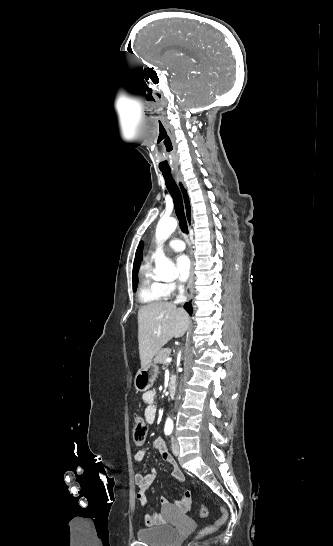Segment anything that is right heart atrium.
I'll use <instances>...</instances> for the list:
<instances>
[{
    "instance_id": "d8ad5b80",
    "label": "right heart atrium",
    "mask_w": 333,
    "mask_h": 546,
    "mask_svg": "<svg viewBox=\"0 0 333 546\" xmlns=\"http://www.w3.org/2000/svg\"><path fill=\"white\" fill-rule=\"evenodd\" d=\"M162 289L166 296H170L178 289V285L175 283H163Z\"/></svg>"
}]
</instances>
